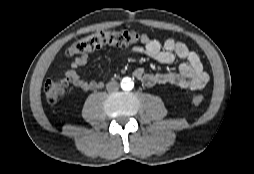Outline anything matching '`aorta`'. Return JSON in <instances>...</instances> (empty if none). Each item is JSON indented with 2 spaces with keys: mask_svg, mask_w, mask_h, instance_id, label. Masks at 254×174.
I'll return each mask as SVG.
<instances>
[{
  "mask_svg": "<svg viewBox=\"0 0 254 174\" xmlns=\"http://www.w3.org/2000/svg\"><path fill=\"white\" fill-rule=\"evenodd\" d=\"M133 87H134V83L132 82L130 78H124L121 81V88L123 90H131Z\"/></svg>",
  "mask_w": 254,
  "mask_h": 174,
  "instance_id": "obj_1",
  "label": "aorta"
}]
</instances>
